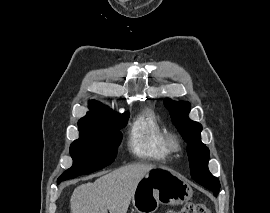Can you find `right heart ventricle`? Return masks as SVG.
Listing matches in <instances>:
<instances>
[{"label":"right heart ventricle","mask_w":270,"mask_h":213,"mask_svg":"<svg viewBox=\"0 0 270 213\" xmlns=\"http://www.w3.org/2000/svg\"><path fill=\"white\" fill-rule=\"evenodd\" d=\"M168 134L153 113L142 112L131 126L129 150L138 158L165 160L171 155Z\"/></svg>","instance_id":"right-heart-ventricle-1"}]
</instances>
